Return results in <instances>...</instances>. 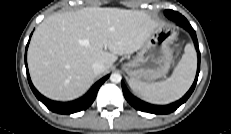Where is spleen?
<instances>
[{
  "label": "spleen",
  "instance_id": "obj_1",
  "mask_svg": "<svg viewBox=\"0 0 231 134\" xmlns=\"http://www.w3.org/2000/svg\"><path fill=\"white\" fill-rule=\"evenodd\" d=\"M197 68V55L193 44H186L184 54L172 75L164 81L146 83L129 80L132 90L145 101L168 104L180 99L193 83Z\"/></svg>",
  "mask_w": 231,
  "mask_h": 134
}]
</instances>
